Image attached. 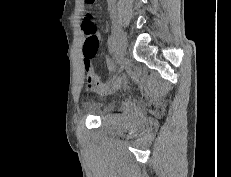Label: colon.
<instances>
[{
  "label": "colon",
  "mask_w": 231,
  "mask_h": 177,
  "mask_svg": "<svg viewBox=\"0 0 231 177\" xmlns=\"http://www.w3.org/2000/svg\"><path fill=\"white\" fill-rule=\"evenodd\" d=\"M86 4H93L95 0H84ZM82 29L86 35L85 43L83 46L84 57L91 60L97 53L99 47V39L96 35V29L94 24L89 20L85 19L82 22Z\"/></svg>",
  "instance_id": "obj_1"
}]
</instances>
